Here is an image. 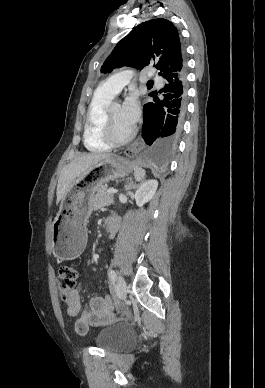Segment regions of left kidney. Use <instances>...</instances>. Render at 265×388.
<instances>
[{
    "label": "left kidney",
    "instance_id": "5707ae66",
    "mask_svg": "<svg viewBox=\"0 0 265 388\" xmlns=\"http://www.w3.org/2000/svg\"><path fill=\"white\" fill-rule=\"evenodd\" d=\"M157 188H158L157 180H148V182H145V184H142V186L138 188L135 194V200H136L137 206L141 208V206H144L146 202H150L154 194H156Z\"/></svg>",
    "mask_w": 265,
    "mask_h": 388
}]
</instances>
